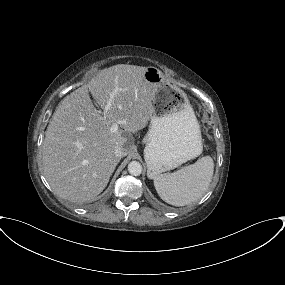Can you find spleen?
Wrapping results in <instances>:
<instances>
[{
	"label": "spleen",
	"instance_id": "spleen-1",
	"mask_svg": "<svg viewBox=\"0 0 285 285\" xmlns=\"http://www.w3.org/2000/svg\"><path fill=\"white\" fill-rule=\"evenodd\" d=\"M213 172V159L205 156L176 172L155 176L154 186L166 203L185 206L202 198L209 188Z\"/></svg>",
	"mask_w": 285,
	"mask_h": 285
}]
</instances>
